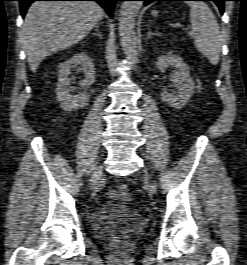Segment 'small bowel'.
<instances>
[{"label":"small bowel","mask_w":247,"mask_h":265,"mask_svg":"<svg viewBox=\"0 0 247 265\" xmlns=\"http://www.w3.org/2000/svg\"><path fill=\"white\" fill-rule=\"evenodd\" d=\"M107 195L108 197L117 199V200L128 201L132 199L131 193H127L126 195H121L118 191H115V190H110Z\"/></svg>","instance_id":"obj_1"}]
</instances>
